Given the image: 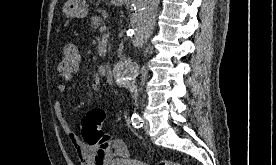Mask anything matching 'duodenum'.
Returning <instances> with one entry per match:
<instances>
[{"instance_id":"1","label":"duodenum","mask_w":276,"mask_h":165,"mask_svg":"<svg viewBox=\"0 0 276 165\" xmlns=\"http://www.w3.org/2000/svg\"><path fill=\"white\" fill-rule=\"evenodd\" d=\"M104 71H105L106 79L108 81H112L113 80V70H112L111 65H106Z\"/></svg>"}]
</instances>
